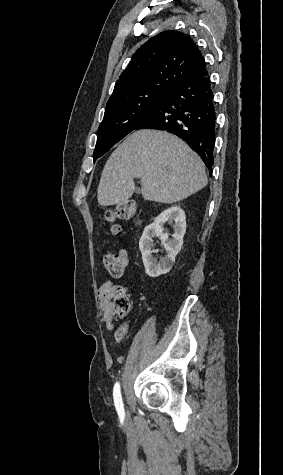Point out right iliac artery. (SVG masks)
Wrapping results in <instances>:
<instances>
[{"label":"right iliac artery","mask_w":283,"mask_h":475,"mask_svg":"<svg viewBox=\"0 0 283 475\" xmlns=\"http://www.w3.org/2000/svg\"><path fill=\"white\" fill-rule=\"evenodd\" d=\"M113 397H114V403H115V407L118 412V415L120 417H124V408H123V402H122L119 383H116L114 386Z\"/></svg>","instance_id":"1"}]
</instances>
